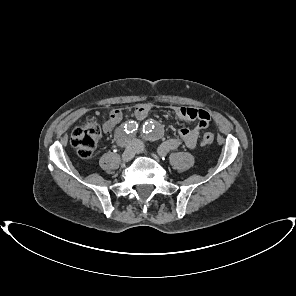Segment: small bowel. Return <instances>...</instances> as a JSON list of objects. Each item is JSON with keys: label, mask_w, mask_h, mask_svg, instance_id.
Returning <instances> with one entry per match:
<instances>
[{"label": "small bowel", "mask_w": 296, "mask_h": 296, "mask_svg": "<svg viewBox=\"0 0 296 296\" xmlns=\"http://www.w3.org/2000/svg\"><path fill=\"white\" fill-rule=\"evenodd\" d=\"M151 110L149 103L137 104L134 108V116L141 120L144 119ZM174 114L182 120L192 121L197 120V124L193 128L178 129V136L165 140L159 147V152L166 155L168 152L177 149L181 144H184L190 149L195 148L198 138L202 130L206 129L210 123V115L207 111L191 107L175 106L173 107ZM123 114L120 109L113 108L109 111L107 121L103 125L105 132H111L122 120Z\"/></svg>", "instance_id": "c3829d8e"}]
</instances>
